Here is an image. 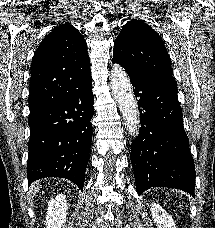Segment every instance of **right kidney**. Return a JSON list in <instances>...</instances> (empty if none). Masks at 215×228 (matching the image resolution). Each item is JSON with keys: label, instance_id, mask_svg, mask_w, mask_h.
I'll return each instance as SVG.
<instances>
[{"label": "right kidney", "instance_id": "obj_1", "mask_svg": "<svg viewBox=\"0 0 215 228\" xmlns=\"http://www.w3.org/2000/svg\"><path fill=\"white\" fill-rule=\"evenodd\" d=\"M67 206L64 194H58V196L49 200L45 218L46 228H63V224H66L67 220Z\"/></svg>", "mask_w": 215, "mask_h": 228}]
</instances>
